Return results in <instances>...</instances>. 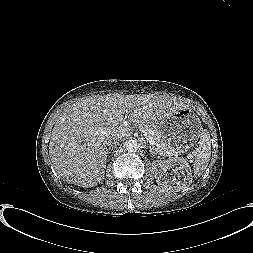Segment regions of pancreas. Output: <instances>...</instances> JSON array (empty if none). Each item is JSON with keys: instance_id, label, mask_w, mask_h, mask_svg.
Here are the masks:
<instances>
[{"instance_id": "1", "label": "pancreas", "mask_w": 253, "mask_h": 253, "mask_svg": "<svg viewBox=\"0 0 253 253\" xmlns=\"http://www.w3.org/2000/svg\"><path fill=\"white\" fill-rule=\"evenodd\" d=\"M139 128H146L150 130V135L152 136L153 140L155 141L156 147L154 150L163 156H173L175 153L178 152L170 147L165 141L164 137L161 135L160 131L153 125V124H138L136 125Z\"/></svg>"}]
</instances>
